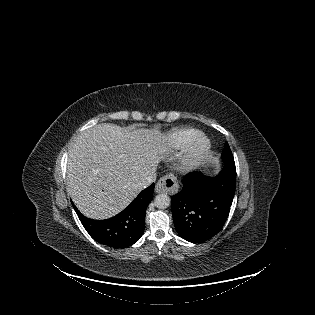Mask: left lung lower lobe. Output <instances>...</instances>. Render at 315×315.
<instances>
[{
	"mask_svg": "<svg viewBox=\"0 0 315 315\" xmlns=\"http://www.w3.org/2000/svg\"><path fill=\"white\" fill-rule=\"evenodd\" d=\"M183 189L171 198L175 229L180 237L201 243L224 226L235 194L236 168L224 166L216 177L191 172Z\"/></svg>",
	"mask_w": 315,
	"mask_h": 315,
	"instance_id": "1",
	"label": "left lung lower lobe"
}]
</instances>
